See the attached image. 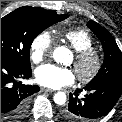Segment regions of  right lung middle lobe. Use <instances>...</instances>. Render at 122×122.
Masks as SVG:
<instances>
[{
    "label": "right lung middle lobe",
    "instance_id": "dd1d6c3e",
    "mask_svg": "<svg viewBox=\"0 0 122 122\" xmlns=\"http://www.w3.org/2000/svg\"><path fill=\"white\" fill-rule=\"evenodd\" d=\"M67 17L24 6L1 18V59L20 68H31L29 53L34 38Z\"/></svg>",
    "mask_w": 122,
    "mask_h": 122
}]
</instances>
